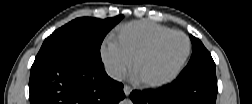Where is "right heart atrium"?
I'll return each instance as SVG.
<instances>
[{"instance_id":"1","label":"right heart atrium","mask_w":252,"mask_h":104,"mask_svg":"<svg viewBox=\"0 0 252 104\" xmlns=\"http://www.w3.org/2000/svg\"><path fill=\"white\" fill-rule=\"evenodd\" d=\"M106 59L116 74H121L128 68L126 57L115 45H109L106 48Z\"/></svg>"}]
</instances>
